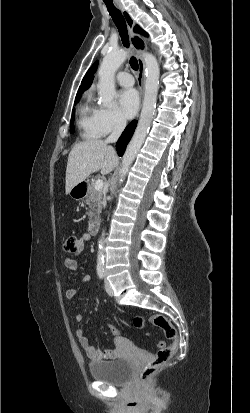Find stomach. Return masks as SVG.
Listing matches in <instances>:
<instances>
[{"instance_id":"stomach-1","label":"stomach","mask_w":250,"mask_h":413,"mask_svg":"<svg viewBox=\"0 0 250 413\" xmlns=\"http://www.w3.org/2000/svg\"><path fill=\"white\" fill-rule=\"evenodd\" d=\"M70 194L72 197H74L77 200L84 198L86 195V183L81 182L77 184L76 186H74L72 190L70 191Z\"/></svg>"}]
</instances>
